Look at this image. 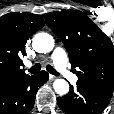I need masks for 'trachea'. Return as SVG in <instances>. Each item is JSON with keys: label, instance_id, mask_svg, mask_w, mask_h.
Instances as JSON below:
<instances>
[{"label": "trachea", "instance_id": "3493384b", "mask_svg": "<svg viewBox=\"0 0 114 114\" xmlns=\"http://www.w3.org/2000/svg\"><path fill=\"white\" fill-rule=\"evenodd\" d=\"M40 69H41V65L39 63H37L33 67H31L28 71L30 73L34 74V73H37L38 71H40ZM46 69L52 75H56V76L59 75V73L51 65H47Z\"/></svg>", "mask_w": 114, "mask_h": 114}]
</instances>
